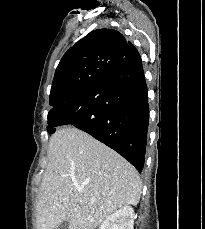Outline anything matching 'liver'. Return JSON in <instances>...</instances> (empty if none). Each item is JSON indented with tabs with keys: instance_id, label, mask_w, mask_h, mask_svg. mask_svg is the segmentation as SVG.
<instances>
[{
	"instance_id": "obj_1",
	"label": "liver",
	"mask_w": 205,
	"mask_h": 229,
	"mask_svg": "<svg viewBox=\"0 0 205 229\" xmlns=\"http://www.w3.org/2000/svg\"><path fill=\"white\" fill-rule=\"evenodd\" d=\"M37 202V229H94L118 208L138 204L141 180L121 155L74 128L58 129Z\"/></svg>"
}]
</instances>
